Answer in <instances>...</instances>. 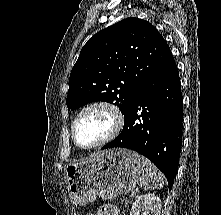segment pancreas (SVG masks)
Segmentation results:
<instances>
[{"label": "pancreas", "mask_w": 221, "mask_h": 215, "mask_svg": "<svg viewBox=\"0 0 221 215\" xmlns=\"http://www.w3.org/2000/svg\"><path fill=\"white\" fill-rule=\"evenodd\" d=\"M121 203L124 204L125 207H127V206H128V203H129V200H128V199H123V200L121 201Z\"/></svg>", "instance_id": "obj_1"}]
</instances>
